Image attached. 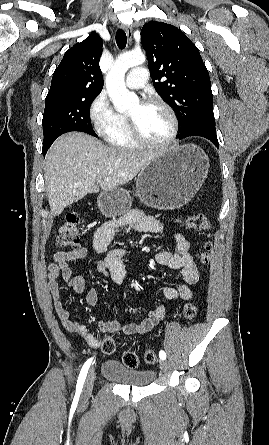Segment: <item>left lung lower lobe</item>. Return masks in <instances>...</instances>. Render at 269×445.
<instances>
[{
    "instance_id": "0a47b994",
    "label": "left lung lower lobe",
    "mask_w": 269,
    "mask_h": 445,
    "mask_svg": "<svg viewBox=\"0 0 269 445\" xmlns=\"http://www.w3.org/2000/svg\"><path fill=\"white\" fill-rule=\"evenodd\" d=\"M188 136H201V137H204V138L210 140L217 148H219L215 129H196V130H192L185 137H188ZM185 137H179V139H182V138H185Z\"/></svg>"
}]
</instances>
